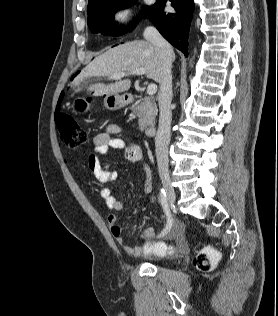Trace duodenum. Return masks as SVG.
<instances>
[{
  "label": "duodenum",
  "instance_id": "obj_1",
  "mask_svg": "<svg viewBox=\"0 0 278 316\" xmlns=\"http://www.w3.org/2000/svg\"><path fill=\"white\" fill-rule=\"evenodd\" d=\"M126 102H131L133 100V97L131 95H127L125 97ZM156 133V128L154 126H149L145 129V134L147 136H153Z\"/></svg>",
  "mask_w": 278,
  "mask_h": 316
}]
</instances>
